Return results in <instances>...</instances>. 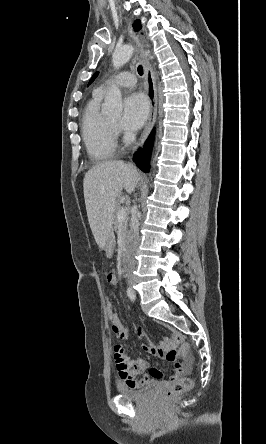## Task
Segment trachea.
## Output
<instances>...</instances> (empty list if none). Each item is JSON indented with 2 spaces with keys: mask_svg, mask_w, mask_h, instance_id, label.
I'll use <instances>...</instances> for the list:
<instances>
[{
  "mask_svg": "<svg viewBox=\"0 0 266 444\" xmlns=\"http://www.w3.org/2000/svg\"><path fill=\"white\" fill-rule=\"evenodd\" d=\"M137 70H138V74H139L140 76H142V75H143V67H142L141 65H139L138 68H137Z\"/></svg>",
  "mask_w": 266,
  "mask_h": 444,
  "instance_id": "trachea-1",
  "label": "trachea"
}]
</instances>
